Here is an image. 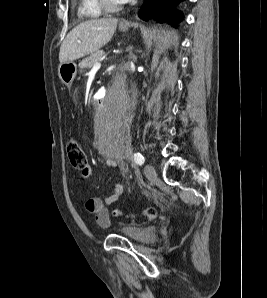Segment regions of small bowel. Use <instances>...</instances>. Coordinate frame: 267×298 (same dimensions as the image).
Returning <instances> with one entry per match:
<instances>
[{
	"instance_id": "obj_1",
	"label": "small bowel",
	"mask_w": 267,
	"mask_h": 298,
	"mask_svg": "<svg viewBox=\"0 0 267 298\" xmlns=\"http://www.w3.org/2000/svg\"><path fill=\"white\" fill-rule=\"evenodd\" d=\"M110 166L115 167L116 163L111 162ZM121 170L124 171L125 168L121 166ZM92 174V167L88 166L83 176L88 178ZM124 192V185L120 182L116 183L113 192L106 197L101 199L99 197H93L85 202V210L87 213L94 217L95 223L103 228H107L111 224L110 213L107 206L113 205L122 196Z\"/></svg>"
}]
</instances>
